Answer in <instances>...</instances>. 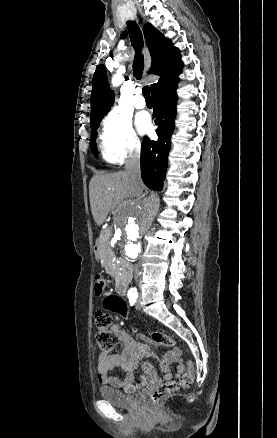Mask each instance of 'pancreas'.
Segmentation results:
<instances>
[{
  "mask_svg": "<svg viewBox=\"0 0 277 438\" xmlns=\"http://www.w3.org/2000/svg\"><path fill=\"white\" fill-rule=\"evenodd\" d=\"M112 241V233L111 231H102L101 236L97 242V245L99 247V251L102 254V267H116L117 261H116V251H112L111 246Z\"/></svg>",
  "mask_w": 277,
  "mask_h": 438,
  "instance_id": "1",
  "label": "pancreas"
}]
</instances>
